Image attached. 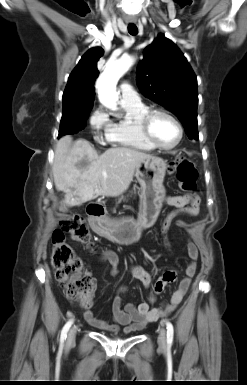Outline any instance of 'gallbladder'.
I'll return each mask as SVG.
<instances>
[{"instance_id": "gallbladder-1", "label": "gallbladder", "mask_w": 247, "mask_h": 385, "mask_svg": "<svg viewBox=\"0 0 247 385\" xmlns=\"http://www.w3.org/2000/svg\"><path fill=\"white\" fill-rule=\"evenodd\" d=\"M59 209H60L61 211H67V207H66V205H65L63 202H61V203L59 204Z\"/></svg>"}]
</instances>
